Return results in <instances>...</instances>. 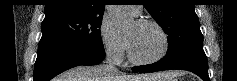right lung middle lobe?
Returning a JSON list of instances; mask_svg holds the SVG:
<instances>
[{"label": "right lung middle lobe", "instance_id": "right-lung-middle-lobe-1", "mask_svg": "<svg viewBox=\"0 0 237 81\" xmlns=\"http://www.w3.org/2000/svg\"><path fill=\"white\" fill-rule=\"evenodd\" d=\"M102 16L61 15L42 22L40 41H57L76 45H102L99 28Z\"/></svg>", "mask_w": 237, "mask_h": 81}]
</instances>
